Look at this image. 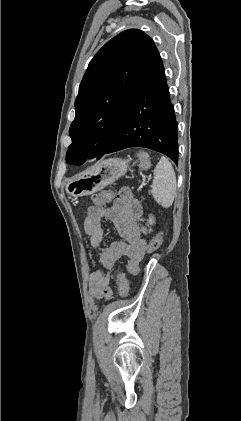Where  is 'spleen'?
<instances>
[{"instance_id": "3e777b00", "label": "spleen", "mask_w": 241, "mask_h": 421, "mask_svg": "<svg viewBox=\"0 0 241 421\" xmlns=\"http://www.w3.org/2000/svg\"><path fill=\"white\" fill-rule=\"evenodd\" d=\"M151 193L158 204L172 206L176 197V175L169 160L162 156L154 171Z\"/></svg>"}]
</instances>
